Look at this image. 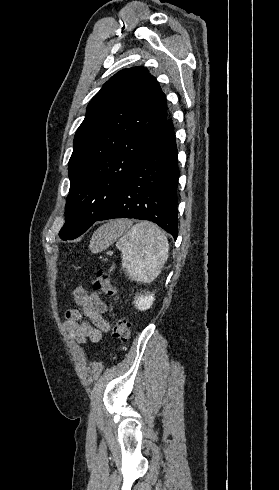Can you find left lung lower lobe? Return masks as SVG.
Listing matches in <instances>:
<instances>
[{
	"mask_svg": "<svg viewBox=\"0 0 279 490\" xmlns=\"http://www.w3.org/2000/svg\"><path fill=\"white\" fill-rule=\"evenodd\" d=\"M179 169L175 134L170 118L143 148L120 185L109 209L97 220H149L176 240Z\"/></svg>",
	"mask_w": 279,
	"mask_h": 490,
	"instance_id": "left-lung-lower-lobe-1",
	"label": "left lung lower lobe"
}]
</instances>
